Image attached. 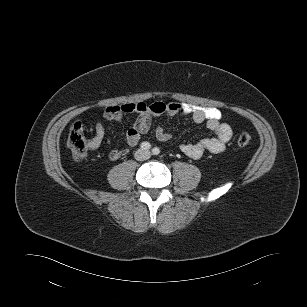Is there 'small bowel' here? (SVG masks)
Listing matches in <instances>:
<instances>
[{"instance_id": "small-bowel-1", "label": "small bowel", "mask_w": 307, "mask_h": 307, "mask_svg": "<svg viewBox=\"0 0 307 307\" xmlns=\"http://www.w3.org/2000/svg\"><path fill=\"white\" fill-rule=\"evenodd\" d=\"M130 113H135L137 119L126 133V141L129 147L136 146L140 142L141 136L151 130L154 118L161 116L191 117L196 123H205L207 129L214 135L197 143H181L174 141L172 134L165 131L162 126L156 128L155 134L159 141L172 144L192 159L201 158L206 151L214 154L222 153L232 137L231 127L227 123L220 121L221 112L214 107H201L177 102H155L152 104L135 102L109 107L106 109L104 117L110 121H120L124 115ZM104 136V125L101 122H97L95 134L90 139V148H98ZM127 152V148L113 149L109 153V158L117 160L125 156Z\"/></svg>"}]
</instances>
